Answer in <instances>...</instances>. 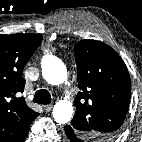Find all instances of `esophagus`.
Masks as SVG:
<instances>
[{"instance_id":"esophagus-1","label":"esophagus","mask_w":142,"mask_h":142,"mask_svg":"<svg viewBox=\"0 0 142 142\" xmlns=\"http://www.w3.org/2000/svg\"><path fill=\"white\" fill-rule=\"evenodd\" d=\"M52 108H53L52 104L43 106V109L45 112H50Z\"/></svg>"}]
</instances>
